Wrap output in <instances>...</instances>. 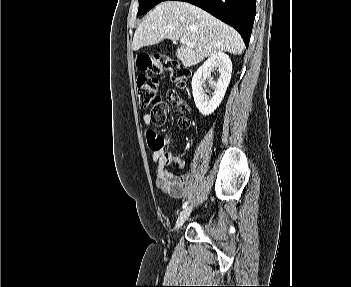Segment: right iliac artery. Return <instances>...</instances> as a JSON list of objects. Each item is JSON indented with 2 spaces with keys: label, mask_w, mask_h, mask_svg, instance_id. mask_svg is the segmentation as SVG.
<instances>
[{
  "label": "right iliac artery",
  "mask_w": 351,
  "mask_h": 287,
  "mask_svg": "<svg viewBox=\"0 0 351 287\" xmlns=\"http://www.w3.org/2000/svg\"><path fill=\"white\" fill-rule=\"evenodd\" d=\"M187 205H188V202H185V203L183 204L182 208H183V209L186 208Z\"/></svg>",
  "instance_id": "1"
}]
</instances>
